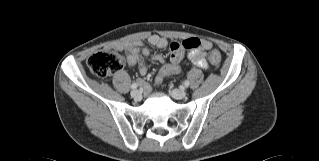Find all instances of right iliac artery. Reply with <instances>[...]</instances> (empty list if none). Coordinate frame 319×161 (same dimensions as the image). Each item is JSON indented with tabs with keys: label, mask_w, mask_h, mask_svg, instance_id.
<instances>
[{
	"label": "right iliac artery",
	"mask_w": 319,
	"mask_h": 161,
	"mask_svg": "<svg viewBox=\"0 0 319 161\" xmlns=\"http://www.w3.org/2000/svg\"><path fill=\"white\" fill-rule=\"evenodd\" d=\"M137 87H138V84H137V83H133V84L131 85V89H137Z\"/></svg>",
	"instance_id": "right-iliac-artery-1"
}]
</instances>
